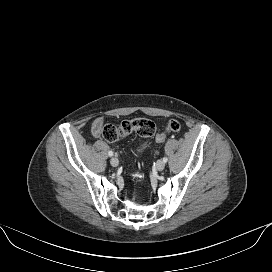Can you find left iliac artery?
I'll use <instances>...</instances> for the list:
<instances>
[{
    "label": "left iliac artery",
    "mask_w": 272,
    "mask_h": 272,
    "mask_svg": "<svg viewBox=\"0 0 272 272\" xmlns=\"http://www.w3.org/2000/svg\"><path fill=\"white\" fill-rule=\"evenodd\" d=\"M167 161H168V158H167V157H164V158H163V162L166 163Z\"/></svg>",
    "instance_id": "44dca946"
}]
</instances>
